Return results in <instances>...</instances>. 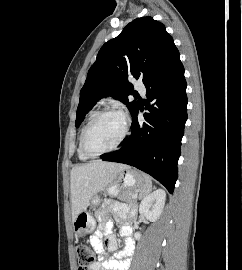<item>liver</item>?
Segmentation results:
<instances>
[{
  "label": "liver",
  "instance_id": "obj_1",
  "mask_svg": "<svg viewBox=\"0 0 242 270\" xmlns=\"http://www.w3.org/2000/svg\"><path fill=\"white\" fill-rule=\"evenodd\" d=\"M128 168L124 164L100 160L74 167L70 177L72 221L86 210L97 193L104 191L121 171Z\"/></svg>",
  "mask_w": 242,
  "mask_h": 270
}]
</instances>
